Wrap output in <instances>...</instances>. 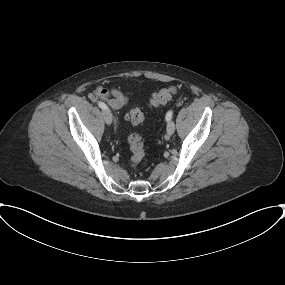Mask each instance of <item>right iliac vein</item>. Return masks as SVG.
Listing matches in <instances>:
<instances>
[{
	"label": "right iliac vein",
	"instance_id": "obj_1",
	"mask_svg": "<svg viewBox=\"0 0 285 285\" xmlns=\"http://www.w3.org/2000/svg\"><path fill=\"white\" fill-rule=\"evenodd\" d=\"M102 116L104 118V121L107 125H110L112 123V113L108 109H104L102 112Z\"/></svg>",
	"mask_w": 285,
	"mask_h": 285
}]
</instances>
